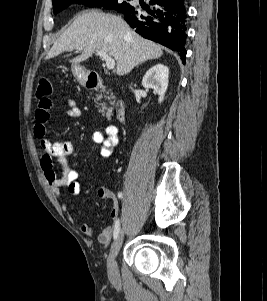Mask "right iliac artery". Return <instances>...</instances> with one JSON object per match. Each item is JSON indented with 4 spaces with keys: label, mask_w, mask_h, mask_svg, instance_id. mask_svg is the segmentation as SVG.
Segmentation results:
<instances>
[{
    "label": "right iliac artery",
    "mask_w": 267,
    "mask_h": 301,
    "mask_svg": "<svg viewBox=\"0 0 267 301\" xmlns=\"http://www.w3.org/2000/svg\"><path fill=\"white\" fill-rule=\"evenodd\" d=\"M123 194L121 192L118 193V197L119 198H122ZM119 231H120V219L118 218L117 221H116V224H115V230H114V233H113V237L114 239L117 238L118 234H119Z\"/></svg>",
    "instance_id": "1"
}]
</instances>
